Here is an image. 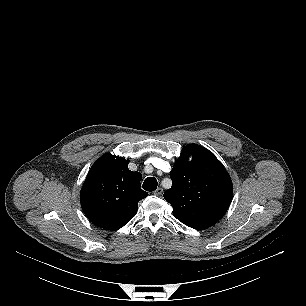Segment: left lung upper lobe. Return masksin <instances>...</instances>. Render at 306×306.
<instances>
[{"mask_svg":"<svg viewBox=\"0 0 306 306\" xmlns=\"http://www.w3.org/2000/svg\"><path fill=\"white\" fill-rule=\"evenodd\" d=\"M170 177L172 187L164 192V198L180 222L194 229H205L224 216L232 199L233 185L224 166L208 149L187 145Z\"/></svg>","mask_w":306,"mask_h":306,"instance_id":"1","label":"left lung upper lobe"}]
</instances>
